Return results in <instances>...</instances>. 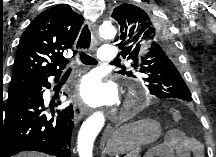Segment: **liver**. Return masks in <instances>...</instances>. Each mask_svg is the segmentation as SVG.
Instances as JSON below:
<instances>
[{
	"instance_id": "obj_1",
	"label": "liver",
	"mask_w": 216,
	"mask_h": 157,
	"mask_svg": "<svg viewBox=\"0 0 216 157\" xmlns=\"http://www.w3.org/2000/svg\"><path fill=\"white\" fill-rule=\"evenodd\" d=\"M16 157H47V156L39 152H23V153L17 154Z\"/></svg>"
}]
</instances>
